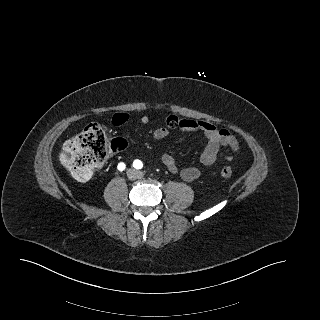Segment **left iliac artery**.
<instances>
[{"label":"left iliac artery","mask_w":320,"mask_h":320,"mask_svg":"<svg viewBox=\"0 0 320 320\" xmlns=\"http://www.w3.org/2000/svg\"><path fill=\"white\" fill-rule=\"evenodd\" d=\"M133 167L136 169H141L143 167V163L140 160H135L133 162Z\"/></svg>","instance_id":"1"}]
</instances>
